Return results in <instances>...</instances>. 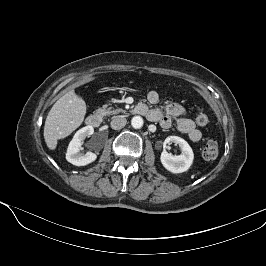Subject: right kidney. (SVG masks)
<instances>
[{
  "label": "right kidney",
  "instance_id": "obj_1",
  "mask_svg": "<svg viewBox=\"0 0 266 266\" xmlns=\"http://www.w3.org/2000/svg\"><path fill=\"white\" fill-rule=\"evenodd\" d=\"M93 133L94 128L90 125L85 126L76 132L67 148L66 160L68 162L76 166H85L96 160L97 155L93 152H87L86 154L80 153L83 140Z\"/></svg>",
  "mask_w": 266,
  "mask_h": 266
}]
</instances>
